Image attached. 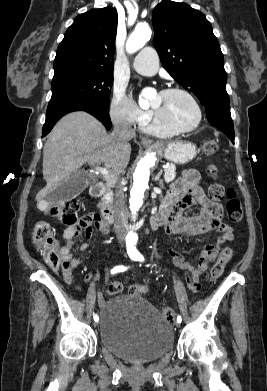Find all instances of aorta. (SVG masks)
<instances>
[{"instance_id": "obj_1", "label": "aorta", "mask_w": 267, "mask_h": 391, "mask_svg": "<svg viewBox=\"0 0 267 391\" xmlns=\"http://www.w3.org/2000/svg\"><path fill=\"white\" fill-rule=\"evenodd\" d=\"M151 29L148 24H138L134 31L130 34L126 42V51L129 54H133L140 50L151 38ZM147 92L143 90L139 95V103L146 102ZM156 156L153 152H147L142 157L133 173V185L130 192V209L133 214V221L135 222L136 214L143 205V200L146 196L148 183L150 179V171L155 164ZM138 236L135 232L134 224L130 228L128 234V244L130 251H136V243Z\"/></svg>"}]
</instances>
